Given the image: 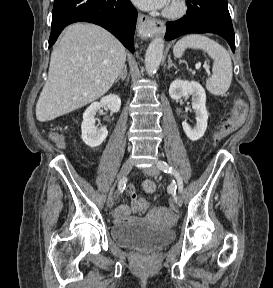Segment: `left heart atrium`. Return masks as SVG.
I'll return each instance as SVG.
<instances>
[{
    "mask_svg": "<svg viewBox=\"0 0 273 288\" xmlns=\"http://www.w3.org/2000/svg\"><path fill=\"white\" fill-rule=\"evenodd\" d=\"M135 5L144 10H153L167 5L169 0H132Z\"/></svg>",
    "mask_w": 273,
    "mask_h": 288,
    "instance_id": "left-heart-atrium-1",
    "label": "left heart atrium"
}]
</instances>
